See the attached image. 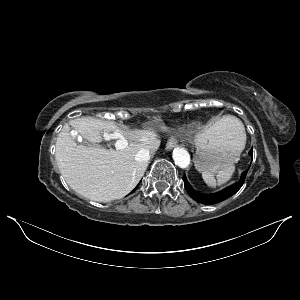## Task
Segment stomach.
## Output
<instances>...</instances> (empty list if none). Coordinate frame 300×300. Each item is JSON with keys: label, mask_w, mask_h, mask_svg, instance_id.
Listing matches in <instances>:
<instances>
[{"label": "stomach", "mask_w": 300, "mask_h": 300, "mask_svg": "<svg viewBox=\"0 0 300 300\" xmlns=\"http://www.w3.org/2000/svg\"><path fill=\"white\" fill-rule=\"evenodd\" d=\"M196 146V169L200 172L211 173H216L236 163L244 149L236 134L219 122L212 124L207 132H204V136L197 137Z\"/></svg>", "instance_id": "obj_1"}]
</instances>
